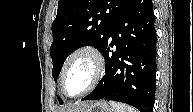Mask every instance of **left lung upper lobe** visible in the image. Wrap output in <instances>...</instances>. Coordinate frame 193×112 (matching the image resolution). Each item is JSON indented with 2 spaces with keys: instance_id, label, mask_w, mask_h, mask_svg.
<instances>
[{
  "instance_id": "left-lung-upper-lobe-1",
  "label": "left lung upper lobe",
  "mask_w": 193,
  "mask_h": 112,
  "mask_svg": "<svg viewBox=\"0 0 193 112\" xmlns=\"http://www.w3.org/2000/svg\"><path fill=\"white\" fill-rule=\"evenodd\" d=\"M132 1L59 0L50 48L55 81L65 59L79 47L90 45L101 52L113 26Z\"/></svg>"
}]
</instances>
